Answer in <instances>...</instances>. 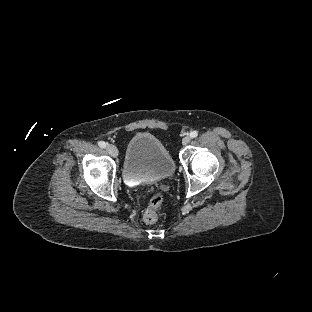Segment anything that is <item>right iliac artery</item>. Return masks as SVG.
Wrapping results in <instances>:
<instances>
[{
  "mask_svg": "<svg viewBox=\"0 0 312 312\" xmlns=\"http://www.w3.org/2000/svg\"><path fill=\"white\" fill-rule=\"evenodd\" d=\"M99 147L101 148H105L106 147V143L104 141H100L98 142Z\"/></svg>",
  "mask_w": 312,
  "mask_h": 312,
  "instance_id": "obj_1",
  "label": "right iliac artery"
}]
</instances>
